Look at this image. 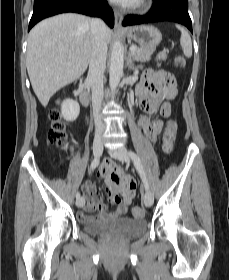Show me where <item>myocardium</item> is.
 Instances as JSON below:
<instances>
[{"instance_id":"f54148a6","label":"myocardium","mask_w":229,"mask_h":280,"mask_svg":"<svg viewBox=\"0 0 229 280\" xmlns=\"http://www.w3.org/2000/svg\"><path fill=\"white\" fill-rule=\"evenodd\" d=\"M150 6V0H140L136 5L131 6L134 10L143 11L148 9Z\"/></svg>"}]
</instances>
